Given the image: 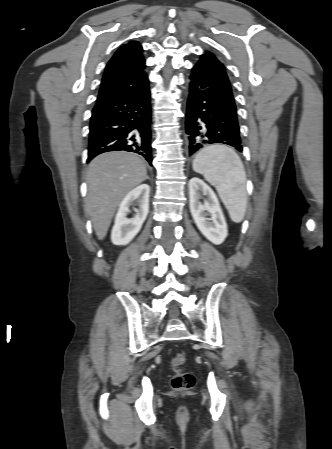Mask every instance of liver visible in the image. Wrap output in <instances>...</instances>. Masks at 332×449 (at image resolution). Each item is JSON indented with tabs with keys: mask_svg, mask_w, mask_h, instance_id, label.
Instances as JSON below:
<instances>
[{
	"mask_svg": "<svg viewBox=\"0 0 332 449\" xmlns=\"http://www.w3.org/2000/svg\"><path fill=\"white\" fill-rule=\"evenodd\" d=\"M147 176L144 162L137 156L112 151L95 157L89 164L85 210L99 240L105 238L120 202Z\"/></svg>",
	"mask_w": 332,
	"mask_h": 449,
	"instance_id": "obj_1",
	"label": "liver"
}]
</instances>
